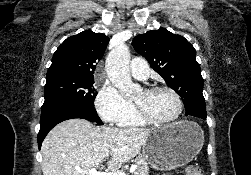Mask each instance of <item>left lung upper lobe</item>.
Wrapping results in <instances>:
<instances>
[{"instance_id":"1","label":"left lung upper lobe","mask_w":251,"mask_h":175,"mask_svg":"<svg viewBox=\"0 0 251 175\" xmlns=\"http://www.w3.org/2000/svg\"><path fill=\"white\" fill-rule=\"evenodd\" d=\"M132 45L167 85L181 96L185 106L205 103L202 94L203 78L195 58L196 50L183 36L160 28L137 35Z\"/></svg>"}]
</instances>
